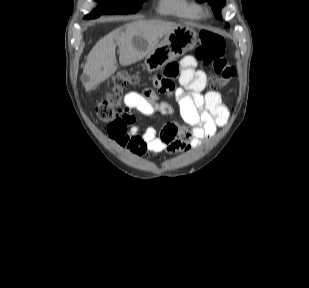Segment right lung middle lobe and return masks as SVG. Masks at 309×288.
<instances>
[{"mask_svg":"<svg viewBox=\"0 0 309 288\" xmlns=\"http://www.w3.org/2000/svg\"><path fill=\"white\" fill-rule=\"evenodd\" d=\"M100 2L98 11L85 18H97L101 14H132L136 13L145 0H97Z\"/></svg>","mask_w":309,"mask_h":288,"instance_id":"right-lung-middle-lobe-1","label":"right lung middle lobe"}]
</instances>
